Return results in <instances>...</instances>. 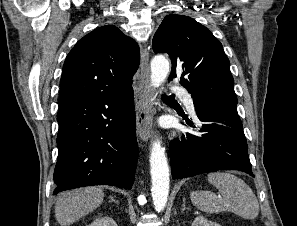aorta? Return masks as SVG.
Listing matches in <instances>:
<instances>
[{"label":"aorta","mask_w":297,"mask_h":226,"mask_svg":"<svg viewBox=\"0 0 297 226\" xmlns=\"http://www.w3.org/2000/svg\"><path fill=\"white\" fill-rule=\"evenodd\" d=\"M169 61L161 55L155 56L151 61V86L155 89L162 85L169 73ZM150 174L152 179L151 194L155 209L162 211L169 195V166L165 149L160 140L152 143L150 154Z\"/></svg>","instance_id":"762f6f07"}]
</instances>
